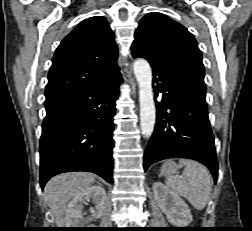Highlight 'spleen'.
I'll return each instance as SVG.
<instances>
[{
  "label": "spleen",
  "instance_id": "1",
  "mask_svg": "<svg viewBox=\"0 0 252 231\" xmlns=\"http://www.w3.org/2000/svg\"><path fill=\"white\" fill-rule=\"evenodd\" d=\"M179 162L185 166L183 175H168L166 185L174 193L186 198L195 209H204L212 190V178L208 169L194 160L180 159Z\"/></svg>",
  "mask_w": 252,
  "mask_h": 231
}]
</instances>
